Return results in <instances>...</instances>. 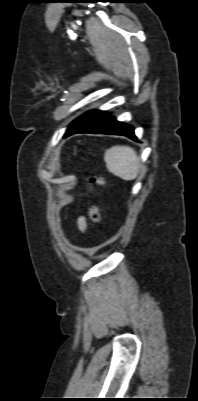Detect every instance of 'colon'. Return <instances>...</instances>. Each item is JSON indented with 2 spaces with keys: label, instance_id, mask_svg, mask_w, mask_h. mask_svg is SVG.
I'll return each mask as SVG.
<instances>
[{
  "label": "colon",
  "instance_id": "1",
  "mask_svg": "<svg viewBox=\"0 0 198 401\" xmlns=\"http://www.w3.org/2000/svg\"><path fill=\"white\" fill-rule=\"evenodd\" d=\"M90 181H91V183H93L94 185H97L99 187H104L105 183H106L104 178L99 175L91 176ZM90 215L94 222L100 223L102 221L101 207L99 206L98 203L92 204L91 210H90Z\"/></svg>",
  "mask_w": 198,
  "mask_h": 401
}]
</instances>
